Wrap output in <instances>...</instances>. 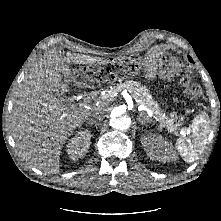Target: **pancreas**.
<instances>
[{"instance_id":"obj_1","label":"pancreas","mask_w":221,"mask_h":221,"mask_svg":"<svg viewBox=\"0 0 221 221\" xmlns=\"http://www.w3.org/2000/svg\"><path fill=\"white\" fill-rule=\"evenodd\" d=\"M123 89H127L133 98L140 100V104L150 109L155 120L162 123L169 131H175L179 124H175L178 119L176 113H171L170 117L152 99L148 89L136 81H125L117 86L106 90V96L112 97Z\"/></svg>"}]
</instances>
